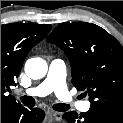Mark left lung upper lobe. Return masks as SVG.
<instances>
[{"label":"left lung upper lobe","mask_w":123,"mask_h":123,"mask_svg":"<svg viewBox=\"0 0 123 123\" xmlns=\"http://www.w3.org/2000/svg\"><path fill=\"white\" fill-rule=\"evenodd\" d=\"M47 42L59 46L72 68V83L91 106L123 111V47L103 28L85 22L63 23Z\"/></svg>","instance_id":"obj_1"}]
</instances>
